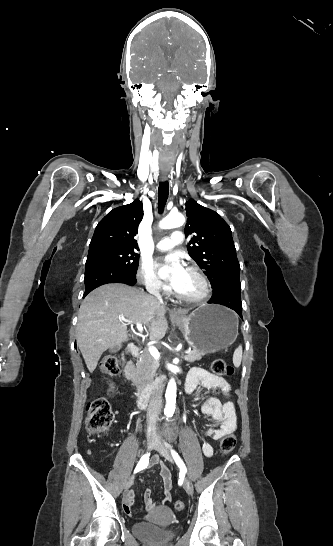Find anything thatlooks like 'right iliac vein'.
<instances>
[{
    "mask_svg": "<svg viewBox=\"0 0 333 546\" xmlns=\"http://www.w3.org/2000/svg\"><path fill=\"white\" fill-rule=\"evenodd\" d=\"M156 442V436L155 435H149L147 438V450H151ZM134 483V476H131L128 481L125 484V490H128Z\"/></svg>",
    "mask_w": 333,
    "mask_h": 546,
    "instance_id": "63e3f726",
    "label": "right iliac vein"
}]
</instances>
